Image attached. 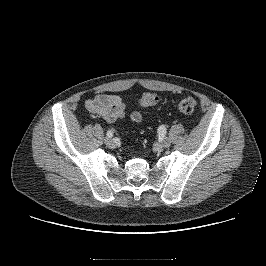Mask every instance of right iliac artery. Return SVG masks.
I'll list each match as a JSON object with an SVG mask.
<instances>
[{
  "label": "right iliac artery",
  "instance_id": "obj_1",
  "mask_svg": "<svg viewBox=\"0 0 266 266\" xmlns=\"http://www.w3.org/2000/svg\"><path fill=\"white\" fill-rule=\"evenodd\" d=\"M107 137L111 138L113 136V132L111 130L107 131Z\"/></svg>",
  "mask_w": 266,
  "mask_h": 266
}]
</instances>
